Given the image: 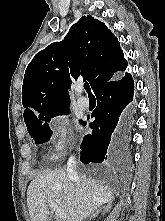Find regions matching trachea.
<instances>
[{
  "label": "trachea",
  "instance_id": "obj_1",
  "mask_svg": "<svg viewBox=\"0 0 165 221\" xmlns=\"http://www.w3.org/2000/svg\"><path fill=\"white\" fill-rule=\"evenodd\" d=\"M84 89L86 90V92L89 94V95H92V93H91V88H90V85H89V83H85L84 84Z\"/></svg>",
  "mask_w": 165,
  "mask_h": 221
}]
</instances>
